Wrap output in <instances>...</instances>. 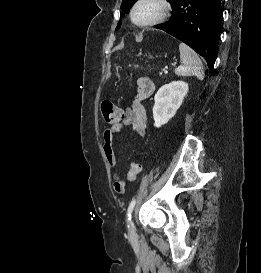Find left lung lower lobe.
<instances>
[{
  "instance_id": "0a47b994",
  "label": "left lung lower lobe",
  "mask_w": 261,
  "mask_h": 273,
  "mask_svg": "<svg viewBox=\"0 0 261 273\" xmlns=\"http://www.w3.org/2000/svg\"><path fill=\"white\" fill-rule=\"evenodd\" d=\"M167 23L156 25L204 57L213 71L222 18L221 0H176Z\"/></svg>"
}]
</instances>
